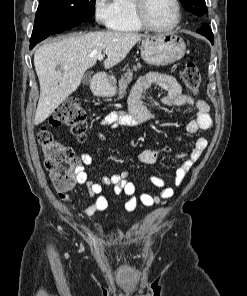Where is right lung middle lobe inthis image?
I'll use <instances>...</instances> for the list:
<instances>
[{
  "mask_svg": "<svg viewBox=\"0 0 247 296\" xmlns=\"http://www.w3.org/2000/svg\"><path fill=\"white\" fill-rule=\"evenodd\" d=\"M96 0H39L31 41L40 42L90 19Z\"/></svg>",
  "mask_w": 247,
  "mask_h": 296,
  "instance_id": "obj_1",
  "label": "right lung middle lobe"
}]
</instances>
